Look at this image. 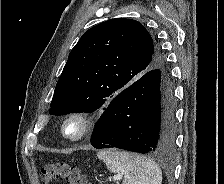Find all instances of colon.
I'll list each match as a JSON object with an SVG mask.
<instances>
[{
    "mask_svg": "<svg viewBox=\"0 0 224 184\" xmlns=\"http://www.w3.org/2000/svg\"><path fill=\"white\" fill-rule=\"evenodd\" d=\"M43 184L62 180L65 184H92L79 167L64 161L49 162L41 169Z\"/></svg>",
    "mask_w": 224,
    "mask_h": 184,
    "instance_id": "colon-1",
    "label": "colon"
}]
</instances>
